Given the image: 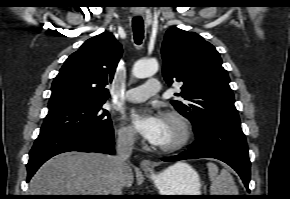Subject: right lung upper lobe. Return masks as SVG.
<instances>
[{
  "label": "right lung upper lobe",
  "instance_id": "obj_1",
  "mask_svg": "<svg viewBox=\"0 0 290 199\" xmlns=\"http://www.w3.org/2000/svg\"><path fill=\"white\" fill-rule=\"evenodd\" d=\"M121 55L122 46L111 33H102L85 41L67 58L55 77L49 112L82 104L105 103L109 97L106 85L112 82Z\"/></svg>",
  "mask_w": 290,
  "mask_h": 199
}]
</instances>
